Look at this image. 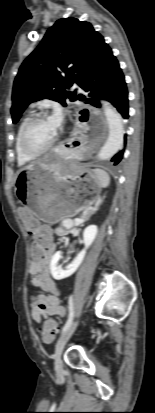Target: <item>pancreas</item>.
Returning <instances> with one entry per match:
<instances>
[{
  "label": "pancreas",
  "mask_w": 155,
  "mask_h": 413,
  "mask_svg": "<svg viewBox=\"0 0 155 413\" xmlns=\"http://www.w3.org/2000/svg\"><path fill=\"white\" fill-rule=\"evenodd\" d=\"M71 221V220H70ZM73 222V221H72ZM64 223V222H63ZM63 223H62V225L60 226V227H58L57 229H56V234L58 235V236H64V235H66V234H68L69 233V229H64L63 228ZM73 225H74V222H73Z\"/></svg>",
  "instance_id": "1"
}]
</instances>
